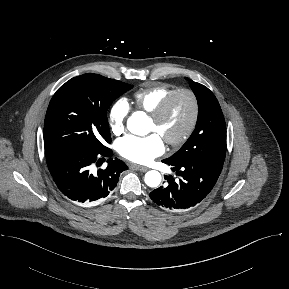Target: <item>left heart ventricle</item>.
Segmentation results:
<instances>
[{
	"label": "left heart ventricle",
	"mask_w": 289,
	"mask_h": 289,
	"mask_svg": "<svg viewBox=\"0 0 289 289\" xmlns=\"http://www.w3.org/2000/svg\"><path fill=\"white\" fill-rule=\"evenodd\" d=\"M192 101L186 94L178 96L165 118L155 122L148 121V131L157 133L164 141L179 137L187 128L192 116Z\"/></svg>",
	"instance_id": "b2bd125f"
}]
</instances>
